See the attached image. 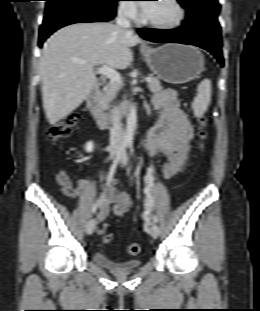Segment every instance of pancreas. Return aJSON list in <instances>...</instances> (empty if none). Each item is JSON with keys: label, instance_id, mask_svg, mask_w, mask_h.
<instances>
[{"label": "pancreas", "instance_id": "obj_1", "mask_svg": "<svg viewBox=\"0 0 260 311\" xmlns=\"http://www.w3.org/2000/svg\"><path fill=\"white\" fill-rule=\"evenodd\" d=\"M151 82L148 83V88L152 93L160 92L163 87L157 77H150ZM120 90V86L114 82H109L100 94V104L102 108L108 109L109 103L113 99L114 95Z\"/></svg>", "mask_w": 260, "mask_h": 311}]
</instances>
